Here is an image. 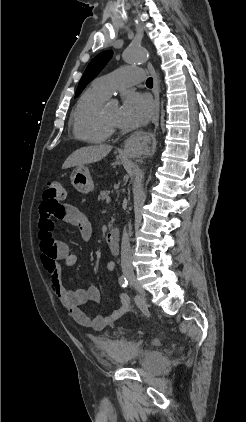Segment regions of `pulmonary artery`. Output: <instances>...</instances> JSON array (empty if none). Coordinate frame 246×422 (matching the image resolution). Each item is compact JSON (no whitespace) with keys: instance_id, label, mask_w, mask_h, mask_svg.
<instances>
[{"instance_id":"obj_1","label":"pulmonary artery","mask_w":246,"mask_h":422,"mask_svg":"<svg viewBox=\"0 0 246 422\" xmlns=\"http://www.w3.org/2000/svg\"><path fill=\"white\" fill-rule=\"evenodd\" d=\"M143 79L144 72L142 69L122 67L108 75L97 78L93 86L109 96L114 90L142 82Z\"/></svg>"}]
</instances>
